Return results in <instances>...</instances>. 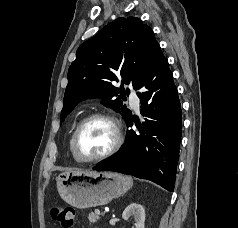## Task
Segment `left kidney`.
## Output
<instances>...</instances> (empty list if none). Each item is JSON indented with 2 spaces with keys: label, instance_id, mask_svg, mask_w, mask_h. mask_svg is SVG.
I'll return each instance as SVG.
<instances>
[{
  "label": "left kidney",
  "instance_id": "1",
  "mask_svg": "<svg viewBox=\"0 0 238 228\" xmlns=\"http://www.w3.org/2000/svg\"><path fill=\"white\" fill-rule=\"evenodd\" d=\"M134 218L136 228H145V209L138 203H131L122 213V218Z\"/></svg>",
  "mask_w": 238,
  "mask_h": 228
}]
</instances>
